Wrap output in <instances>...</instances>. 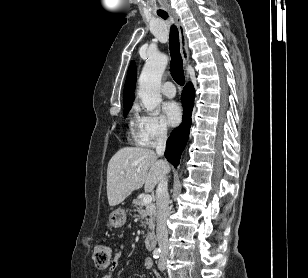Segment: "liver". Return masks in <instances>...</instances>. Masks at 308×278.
<instances>
[{
    "label": "liver",
    "mask_w": 308,
    "mask_h": 278,
    "mask_svg": "<svg viewBox=\"0 0 308 278\" xmlns=\"http://www.w3.org/2000/svg\"><path fill=\"white\" fill-rule=\"evenodd\" d=\"M169 170L168 163L159 160L153 150L139 147L121 148L108 163L109 205L113 207L120 204L132 191L140 189L143 185L145 191H153Z\"/></svg>",
    "instance_id": "1"
}]
</instances>
